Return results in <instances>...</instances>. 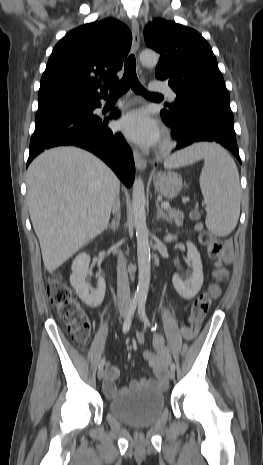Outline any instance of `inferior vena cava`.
I'll use <instances>...</instances> for the list:
<instances>
[{
	"label": "inferior vena cava",
	"mask_w": 263,
	"mask_h": 465,
	"mask_svg": "<svg viewBox=\"0 0 263 465\" xmlns=\"http://www.w3.org/2000/svg\"><path fill=\"white\" fill-rule=\"evenodd\" d=\"M120 201L117 197L113 203V214H119ZM117 299L119 309H127L131 305L129 279L124 257L119 255L117 263Z\"/></svg>",
	"instance_id": "602c4592"
}]
</instances>
